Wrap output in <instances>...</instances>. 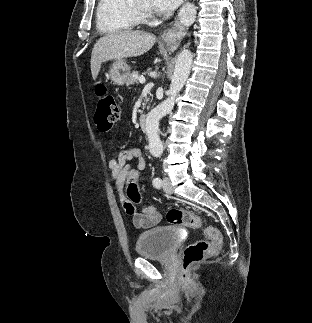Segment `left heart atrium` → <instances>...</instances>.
<instances>
[{"mask_svg":"<svg viewBox=\"0 0 312 323\" xmlns=\"http://www.w3.org/2000/svg\"><path fill=\"white\" fill-rule=\"evenodd\" d=\"M182 3L183 0H150L148 7L159 8L160 12H176V8Z\"/></svg>","mask_w":312,"mask_h":323,"instance_id":"1","label":"left heart atrium"}]
</instances>
